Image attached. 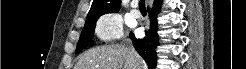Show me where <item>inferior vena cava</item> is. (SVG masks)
<instances>
[{
	"mask_svg": "<svg viewBox=\"0 0 246 69\" xmlns=\"http://www.w3.org/2000/svg\"><path fill=\"white\" fill-rule=\"evenodd\" d=\"M126 44H124L125 47H128L130 50H132L134 52V49L132 47V45L129 42H125ZM134 57H135V66L134 69H139L138 64H137V58H138V54L134 52Z\"/></svg>",
	"mask_w": 246,
	"mask_h": 69,
	"instance_id": "1",
	"label": "inferior vena cava"
}]
</instances>
